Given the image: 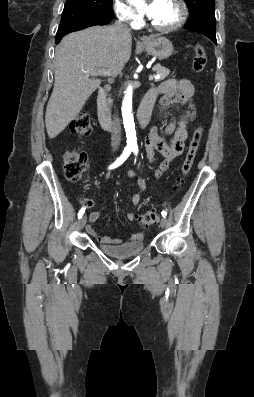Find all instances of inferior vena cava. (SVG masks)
I'll return each mask as SVG.
<instances>
[{
	"instance_id": "obj_1",
	"label": "inferior vena cava",
	"mask_w": 254,
	"mask_h": 397,
	"mask_svg": "<svg viewBox=\"0 0 254 397\" xmlns=\"http://www.w3.org/2000/svg\"><path fill=\"white\" fill-rule=\"evenodd\" d=\"M115 32L119 37L127 38L130 37V28L124 20H118L114 26ZM121 142V126L120 120L117 116L114 117L113 131L111 135V145L117 148Z\"/></svg>"
}]
</instances>
